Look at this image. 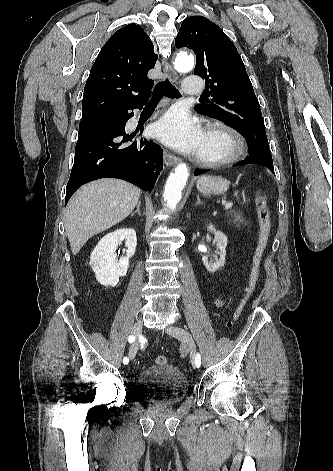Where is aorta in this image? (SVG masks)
Instances as JSON below:
<instances>
[{
  "instance_id": "762f6f07",
  "label": "aorta",
  "mask_w": 333,
  "mask_h": 471,
  "mask_svg": "<svg viewBox=\"0 0 333 471\" xmlns=\"http://www.w3.org/2000/svg\"><path fill=\"white\" fill-rule=\"evenodd\" d=\"M194 67V58L190 55L179 54L175 59V69L180 73H187ZM189 177V170L185 163L178 164L170 173L164 191V201L168 208L174 210L182 198V190Z\"/></svg>"
}]
</instances>
